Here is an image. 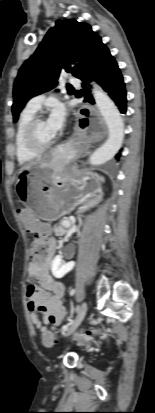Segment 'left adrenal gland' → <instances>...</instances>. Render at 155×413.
I'll return each mask as SVG.
<instances>
[{
  "instance_id": "left-adrenal-gland-1",
  "label": "left adrenal gland",
  "mask_w": 155,
  "mask_h": 413,
  "mask_svg": "<svg viewBox=\"0 0 155 413\" xmlns=\"http://www.w3.org/2000/svg\"><path fill=\"white\" fill-rule=\"evenodd\" d=\"M91 206H93V204H92V203H89V204H87V205L79 208L78 213L84 212L85 210H87L88 207H91Z\"/></svg>"
}]
</instances>
